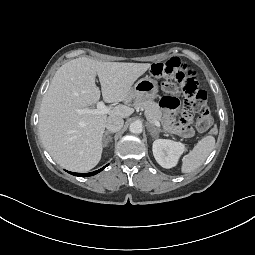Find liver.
I'll return each mask as SVG.
<instances>
[{
  "label": "liver",
  "instance_id": "1",
  "mask_svg": "<svg viewBox=\"0 0 255 255\" xmlns=\"http://www.w3.org/2000/svg\"><path fill=\"white\" fill-rule=\"evenodd\" d=\"M149 63L101 62L81 57L62 65L45 93L39 112V133L44 147L61 167L87 172L100 161L107 119L127 118L134 109L118 105L108 114L77 113L90 109L102 96L107 103L131 102L132 85ZM99 77L101 92L95 84Z\"/></svg>",
  "mask_w": 255,
  "mask_h": 255
}]
</instances>
